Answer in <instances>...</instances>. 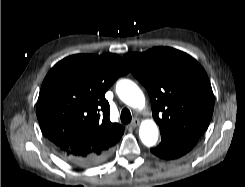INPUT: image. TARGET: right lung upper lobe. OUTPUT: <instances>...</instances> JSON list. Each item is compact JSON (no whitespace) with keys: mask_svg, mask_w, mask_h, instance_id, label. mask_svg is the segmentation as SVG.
I'll use <instances>...</instances> for the list:
<instances>
[{"mask_svg":"<svg viewBox=\"0 0 245 187\" xmlns=\"http://www.w3.org/2000/svg\"><path fill=\"white\" fill-rule=\"evenodd\" d=\"M129 70L116 54H78L46 75L37 103L44 136L66 157L85 159L112 149L124 133L110 122L107 89Z\"/></svg>","mask_w":245,"mask_h":187,"instance_id":"1","label":"right lung upper lobe"}]
</instances>
